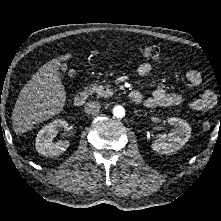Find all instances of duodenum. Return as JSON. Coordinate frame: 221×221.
Wrapping results in <instances>:
<instances>
[{"instance_id":"duodenum-1","label":"duodenum","mask_w":221,"mask_h":221,"mask_svg":"<svg viewBox=\"0 0 221 221\" xmlns=\"http://www.w3.org/2000/svg\"><path fill=\"white\" fill-rule=\"evenodd\" d=\"M128 97H129L130 101H132L134 103H138L141 99V94L137 90H131L128 93ZM86 98H87V94H85L83 92L77 94L76 97L74 98V105L75 106L83 105L84 102L86 101Z\"/></svg>"}]
</instances>
